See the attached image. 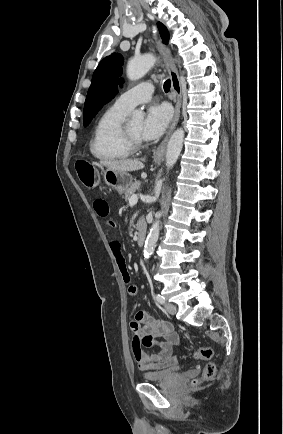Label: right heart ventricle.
I'll list each match as a JSON object with an SVG mask.
<instances>
[{"instance_id": "e07e8e85", "label": "right heart ventricle", "mask_w": 283, "mask_h": 434, "mask_svg": "<svg viewBox=\"0 0 283 434\" xmlns=\"http://www.w3.org/2000/svg\"><path fill=\"white\" fill-rule=\"evenodd\" d=\"M128 112L113 105L100 116L90 141V151L96 159L110 162L126 159L132 154L123 133Z\"/></svg>"}]
</instances>
